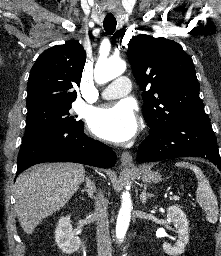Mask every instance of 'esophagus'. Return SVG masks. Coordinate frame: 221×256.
<instances>
[{"mask_svg":"<svg viewBox=\"0 0 221 256\" xmlns=\"http://www.w3.org/2000/svg\"><path fill=\"white\" fill-rule=\"evenodd\" d=\"M120 160H121L122 166H124L126 168H133L134 167L133 158H132L131 154L128 151H124L121 154Z\"/></svg>","mask_w":221,"mask_h":256,"instance_id":"1","label":"esophagus"}]
</instances>
